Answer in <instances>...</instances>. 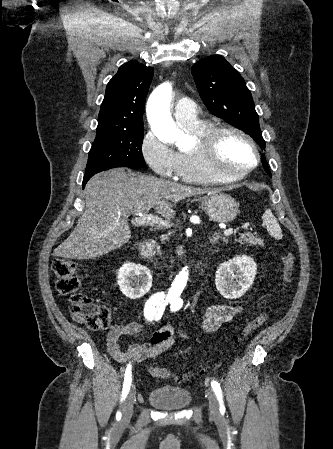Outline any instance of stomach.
<instances>
[{
  "instance_id": "0dacf381",
  "label": "stomach",
  "mask_w": 333,
  "mask_h": 449,
  "mask_svg": "<svg viewBox=\"0 0 333 449\" xmlns=\"http://www.w3.org/2000/svg\"><path fill=\"white\" fill-rule=\"evenodd\" d=\"M199 201L209 218L220 223L233 221L239 213V204L227 194L213 192Z\"/></svg>"
}]
</instances>
